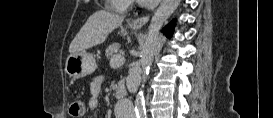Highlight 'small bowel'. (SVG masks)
<instances>
[{
  "label": "small bowel",
  "mask_w": 273,
  "mask_h": 118,
  "mask_svg": "<svg viewBox=\"0 0 273 118\" xmlns=\"http://www.w3.org/2000/svg\"><path fill=\"white\" fill-rule=\"evenodd\" d=\"M103 87V79L95 78L90 86V98L88 100V106L91 110H95L99 104V96L101 94ZM130 107L127 104H117L115 106V116L116 118H124L126 115L130 114Z\"/></svg>",
  "instance_id": "obj_1"
}]
</instances>
